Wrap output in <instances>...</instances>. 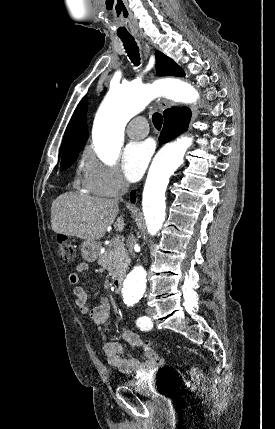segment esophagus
<instances>
[{
	"instance_id": "1",
	"label": "esophagus",
	"mask_w": 275,
	"mask_h": 429,
	"mask_svg": "<svg viewBox=\"0 0 275 429\" xmlns=\"http://www.w3.org/2000/svg\"><path fill=\"white\" fill-rule=\"evenodd\" d=\"M140 39L143 41V39L141 37H140ZM143 43H144L145 57L148 58L149 53H150V46L145 41H143ZM151 76L152 77L154 76L153 73H151ZM157 103H158L159 109L161 111H164L169 106V103L167 102V100H165L163 98H158Z\"/></svg>"
}]
</instances>
